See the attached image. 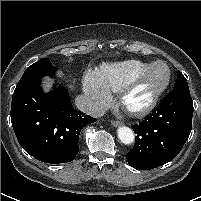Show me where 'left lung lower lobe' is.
I'll return each mask as SVG.
<instances>
[{
    "mask_svg": "<svg viewBox=\"0 0 201 201\" xmlns=\"http://www.w3.org/2000/svg\"><path fill=\"white\" fill-rule=\"evenodd\" d=\"M193 111L189 87L168 93L152 115L133 125L137 136L126 154L129 165L150 170L173 160L190 135Z\"/></svg>",
    "mask_w": 201,
    "mask_h": 201,
    "instance_id": "obj_1",
    "label": "left lung lower lobe"
}]
</instances>
